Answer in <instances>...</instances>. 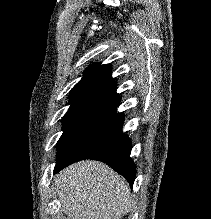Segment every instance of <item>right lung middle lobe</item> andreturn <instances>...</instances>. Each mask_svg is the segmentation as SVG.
Instances as JSON below:
<instances>
[{"mask_svg":"<svg viewBox=\"0 0 211 219\" xmlns=\"http://www.w3.org/2000/svg\"><path fill=\"white\" fill-rule=\"evenodd\" d=\"M63 117L64 132L57 143V161L64 158L83 138L116 112L117 106L93 100L70 102Z\"/></svg>","mask_w":211,"mask_h":219,"instance_id":"1","label":"right lung middle lobe"}]
</instances>
